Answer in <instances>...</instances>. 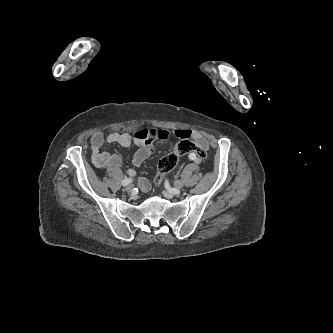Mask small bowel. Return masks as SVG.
I'll return each mask as SVG.
<instances>
[{
    "label": "small bowel",
    "mask_w": 333,
    "mask_h": 333,
    "mask_svg": "<svg viewBox=\"0 0 333 333\" xmlns=\"http://www.w3.org/2000/svg\"><path fill=\"white\" fill-rule=\"evenodd\" d=\"M175 136L179 139L192 138L199 147L206 149L209 145L208 139L200 132L190 129H176L173 131L142 129L134 134L112 132L106 137L101 132H95L90 138L91 160L93 165L98 169L115 170L119 167L121 160L117 154L102 151L101 148L105 141L108 143L119 144L123 147L135 145L137 150L132 158L134 166H141L149 156L154 152V142L160 139H167ZM188 159L197 162L196 156L191 154ZM129 176H134L133 169L128 170ZM141 189L148 191L150 184L148 181L141 182Z\"/></svg>",
    "instance_id": "c3829d8e"
}]
</instances>
